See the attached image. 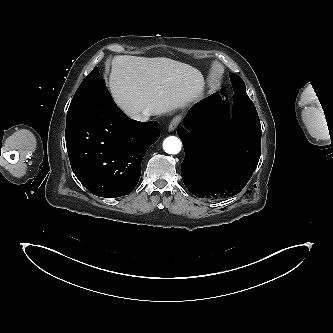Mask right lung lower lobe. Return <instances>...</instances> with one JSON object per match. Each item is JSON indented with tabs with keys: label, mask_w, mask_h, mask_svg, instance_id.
Wrapping results in <instances>:
<instances>
[{
	"label": "right lung lower lobe",
	"mask_w": 333,
	"mask_h": 333,
	"mask_svg": "<svg viewBox=\"0 0 333 333\" xmlns=\"http://www.w3.org/2000/svg\"><path fill=\"white\" fill-rule=\"evenodd\" d=\"M158 122L130 119L115 104L105 84L84 110L66 122V147L72 170L94 195L129 194L141 174V161L158 139Z\"/></svg>",
	"instance_id": "98d812e1"
}]
</instances>
